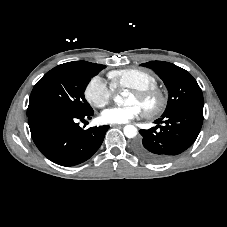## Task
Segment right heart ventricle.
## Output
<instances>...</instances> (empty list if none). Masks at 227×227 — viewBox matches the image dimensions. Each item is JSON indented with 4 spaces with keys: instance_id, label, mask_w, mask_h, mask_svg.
Masks as SVG:
<instances>
[{
    "instance_id": "right-heart-ventricle-1",
    "label": "right heart ventricle",
    "mask_w": 227,
    "mask_h": 227,
    "mask_svg": "<svg viewBox=\"0 0 227 227\" xmlns=\"http://www.w3.org/2000/svg\"><path fill=\"white\" fill-rule=\"evenodd\" d=\"M112 88L144 90L157 86V79L151 73L135 68L114 70L108 73Z\"/></svg>"
}]
</instances>
